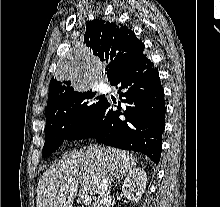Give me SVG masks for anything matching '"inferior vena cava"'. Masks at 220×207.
Here are the masks:
<instances>
[{
    "label": "inferior vena cava",
    "instance_id": "1",
    "mask_svg": "<svg viewBox=\"0 0 220 207\" xmlns=\"http://www.w3.org/2000/svg\"><path fill=\"white\" fill-rule=\"evenodd\" d=\"M112 186V178L104 176L100 183L98 191L97 207H109L111 204L110 189Z\"/></svg>",
    "mask_w": 220,
    "mask_h": 207
}]
</instances>
